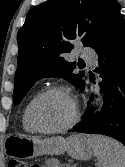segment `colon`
Wrapping results in <instances>:
<instances>
[{
  "instance_id": "colon-1",
  "label": "colon",
  "mask_w": 125,
  "mask_h": 167,
  "mask_svg": "<svg viewBox=\"0 0 125 167\" xmlns=\"http://www.w3.org/2000/svg\"><path fill=\"white\" fill-rule=\"evenodd\" d=\"M8 167H29L27 163L19 159H11L8 163ZM31 167H39L38 165H33Z\"/></svg>"
}]
</instances>
